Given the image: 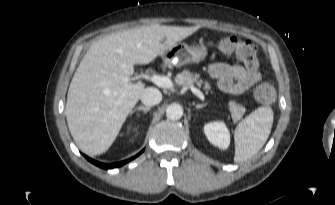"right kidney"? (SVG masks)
Here are the masks:
<instances>
[{"label": "right kidney", "mask_w": 335, "mask_h": 205, "mask_svg": "<svg viewBox=\"0 0 335 205\" xmlns=\"http://www.w3.org/2000/svg\"><path fill=\"white\" fill-rule=\"evenodd\" d=\"M132 130H133V131H136V128H133Z\"/></svg>", "instance_id": "ca27d5eb"}]
</instances>
